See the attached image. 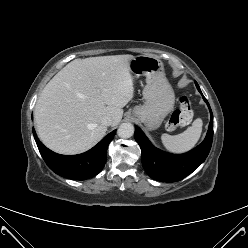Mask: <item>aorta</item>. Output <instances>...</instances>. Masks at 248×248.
<instances>
[{"label":"aorta","instance_id":"obj_1","mask_svg":"<svg viewBox=\"0 0 248 248\" xmlns=\"http://www.w3.org/2000/svg\"><path fill=\"white\" fill-rule=\"evenodd\" d=\"M117 134L120 138H130L134 134V126L131 123H122Z\"/></svg>","mask_w":248,"mask_h":248}]
</instances>
